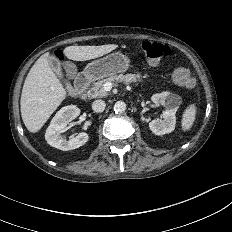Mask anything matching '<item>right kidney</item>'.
I'll return each mask as SVG.
<instances>
[{
  "mask_svg": "<svg viewBox=\"0 0 232 232\" xmlns=\"http://www.w3.org/2000/svg\"><path fill=\"white\" fill-rule=\"evenodd\" d=\"M80 114V109L75 105L61 108L53 117L46 130L45 139L47 143L57 149L68 151L83 146L89 139L85 132L79 133L75 138L66 140L60 133L65 131L67 124Z\"/></svg>",
  "mask_w": 232,
  "mask_h": 232,
  "instance_id": "1",
  "label": "right kidney"
}]
</instances>
